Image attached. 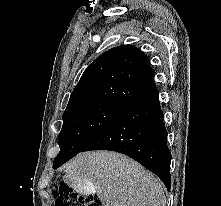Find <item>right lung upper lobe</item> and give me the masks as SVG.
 Wrapping results in <instances>:
<instances>
[{
    "instance_id": "obj_1",
    "label": "right lung upper lobe",
    "mask_w": 221,
    "mask_h": 206,
    "mask_svg": "<svg viewBox=\"0 0 221 206\" xmlns=\"http://www.w3.org/2000/svg\"><path fill=\"white\" fill-rule=\"evenodd\" d=\"M155 87L145 53L130 45L114 47L87 67L65 111L92 104L126 108Z\"/></svg>"
}]
</instances>
